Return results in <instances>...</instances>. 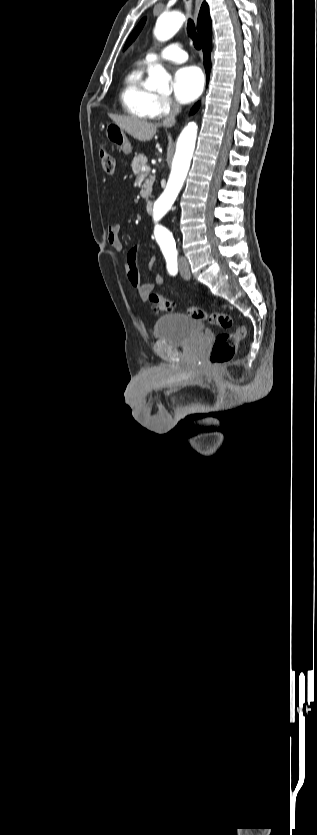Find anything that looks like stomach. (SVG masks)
Returning a JSON list of instances; mask_svg holds the SVG:
<instances>
[{"label": "stomach", "mask_w": 317, "mask_h": 835, "mask_svg": "<svg viewBox=\"0 0 317 835\" xmlns=\"http://www.w3.org/2000/svg\"><path fill=\"white\" fill-rule=\"evenodd\" d=\"M105 133L109 142L122 150L124 154L128 155L132 152L131 144L119 125L114 122L108 123Z\"/></svg>", "instance_id": "0dacf381"}]
</instances>
